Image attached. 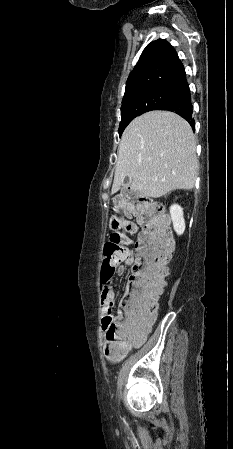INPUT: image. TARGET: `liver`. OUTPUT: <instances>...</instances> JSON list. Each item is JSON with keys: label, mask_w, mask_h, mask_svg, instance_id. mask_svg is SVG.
Returning <instances> with one entry per match:
<instances>
[{"label": "liver", "mask_w": 233, "mask_h": 449, "mask_svg": "<svg viewBox=\"0 0 233 449\" xmlns=\"http://www.w3.org/2000/svg\"><path fill=\"white\" fill-rule=\"evenodd\" d=\"M195 137L189 123L169 111L135 118L118 147L112 194L129 177L132 191L159 198L176 189L190 190L198 174Z\"/></svg>", "instance_id": "6515ba94"}]
</instances>
